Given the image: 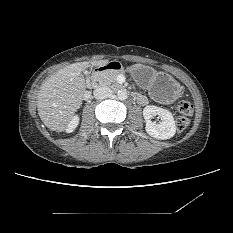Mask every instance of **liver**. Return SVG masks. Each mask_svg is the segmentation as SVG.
<instances>
[{
    "label": "liver",
    "mask_w": 233,
    "mask_h": 233,
    "mask_svg": "<svg viewBox=\"0 0 233 233\" xmlns=\"http://www.w3.org/2000/svg\"><path fill=\"white\" fill-rule=\"evenodd\" d=\"M108 60L70 64L49 77L37 97L41 121L52 131H64L81 107L86 84L82 71L92 66H104Z\"/></svg>",
    "instance_id": "obj_1"
}]
</instances>
